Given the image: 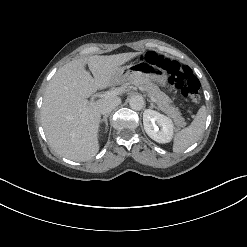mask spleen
I'll return each mask as SVG.
<instances>
[{
  "instance_id": "1",
  "label": "spleen",
  "mask_w": 247,
  "mask_h": 247,
  "mask_svg": "<svg viewBox=\"0 0 247 247\" xmlns=\"http://www.w3.org/2000/svg\"><path fill=\"white\" fill-rule=\"evenodd\" d=\"M206 116V107L202 106L191 124L175 134L173 152H183L199 139L204 131Z\"/></svg>"
}]
</instances>
